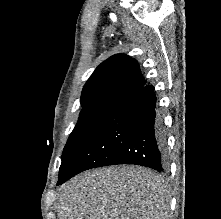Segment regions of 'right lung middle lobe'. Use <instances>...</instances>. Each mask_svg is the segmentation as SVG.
<instances>
[{
	"label": "right lung middle lobe",
	"instance_id": "obj_1",
	"mask_svg": "<svg viewBox=\"0 0 221 219\" xmlns=\"http://www.w3.org/2000/svg\"><path fill=\"white\" fill-rule=\"evenodd\" d=\"M120 102L117 100H101L83 104L78 122L68 138L61 160H65Z\"/></svg>",
	"mask_w": 221,
	"mask_h": 219
}]
</instances>
